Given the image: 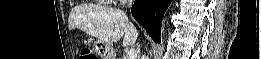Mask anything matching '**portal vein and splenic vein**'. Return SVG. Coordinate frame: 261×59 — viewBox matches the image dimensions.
Listing matches in <instances>:
<instances>
[{
	"label": "portal vein and splenic vein",
	"instance_id": "obj_1",
	"mask_svg": "<svg viewBox=\"0 0 261 59\" xmlns=\"http://www.w3.org/2000/svg\"><path fill=\"white\" fill-rule=\"evenodd\" d=\"M136 57H137V51L135 49H131L129 50L125 59H136Z\"/></svg>",
	"mask_w": 261,
	"mask_h": 59
}]
</instances>
